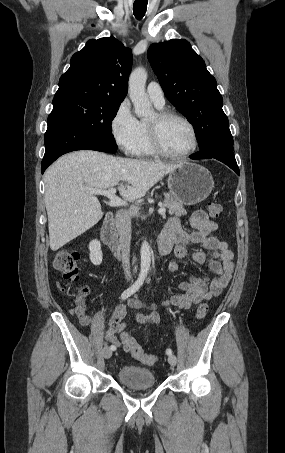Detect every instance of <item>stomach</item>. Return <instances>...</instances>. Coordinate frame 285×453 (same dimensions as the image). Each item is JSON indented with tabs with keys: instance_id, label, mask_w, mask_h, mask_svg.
I'll list each match as a JSON object with an SVG mask.
<instances>
[{
	"instance_id": "0dacf381",
	"label": "stomach",
	"mask_w": 285,
	"mask_h": 453,
	"mask_svg": "<svg viewBox=\"0 0 285 453\" xmlns=\"http://www.w3.org/2000/svg\"><path fill=\"white\" fill-rule=\"evenodd\" d=\"M213 187L209 170L196 163L183 162L168 176L170 193L179 203L188 206L204 201Z\"/></svg>"
}]
</instances>
